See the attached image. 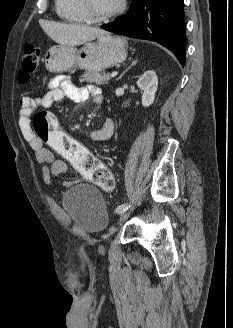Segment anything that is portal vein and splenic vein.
<instances>
[{
  "mask_svg": "<svg viewBox=\"0 0 233 328\" xmlns=\"http://www.w3.org/2000/svg\"><path fill=\"white\" fill-rule=\"evenodd\" d=\"M117 74H118V72H113V73L111 74V77L113 78V77H115Z\"/></svg>",
  "mask_w": 233,
  "mask_h": 328,
  "instance_id": "portal-vein-and-splenic-vein-1",
  "label": "portal vein and splenic vein"
}]
</instances>
